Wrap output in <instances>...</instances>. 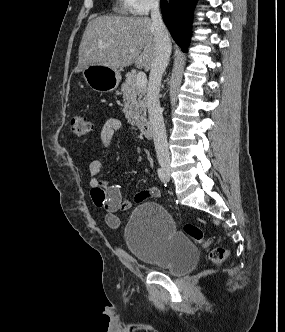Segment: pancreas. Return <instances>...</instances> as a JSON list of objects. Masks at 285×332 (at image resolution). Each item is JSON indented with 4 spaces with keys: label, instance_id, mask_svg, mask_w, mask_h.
Returning <instances> with one entry per match:
<instances>
[{
    "label": "pancreas",
    "instance_id": "obj_1",
    "mask_svg": "<svg viewBox=\"0 0 285 332\" xmlns=\"http://www.w3.org/2000/svg\"><path fill=\"white\" fill-rule=\"evenodd\" d=\"M136 78V74L128 73L126 81L121 85L124 102L123 112L132 124L142 127L147 121L146 87H138Z\"/></svg>",
    "mask_w": 285,
    "mask_h": 332
}]
</instances>
